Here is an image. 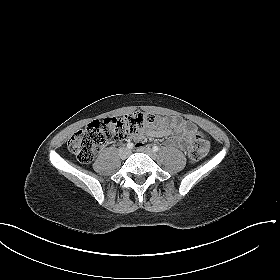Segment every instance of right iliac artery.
Instances as JSON below:
<instances>
[{"instance_id":"obj_1","label":"right iliac artery","mask_w":280,"mask_h":280,"mask_svg":"<svg viewBox=\"0 0 280 280\" xmlns=\"http://www.w3.org/2000/svg\"><path fill=\"white\" fill-rule=\"evenodd\" d=\"M134 147L133 143H128L127 148L132 149Z\"/></svg>"}]
</instances>
